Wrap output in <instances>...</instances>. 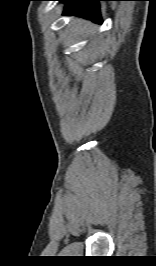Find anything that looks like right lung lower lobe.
<instances>
[{
	"instance_id": "obj_1",
	"label": "right lung lower lobe",
	"mask_w": 156,
	"mask_h": 266,
	"mask_svg": "<svg viewBox=\"0 0 156 266\" xmlns=\"http://www.w3.org/2000/svg\"><path fill=\"white\" fill-rule=\"evenodd\" d=\"M67 2L64 14H77L101 23L99 1L106 0H57Z\"/></svg>"
}]
</instances>
